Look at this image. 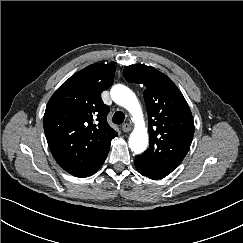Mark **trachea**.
Returning a JSON list of instances; mask_svg holds the SVG:
<instances>
[{"label": "trachea", "instance_id": "1", "mask_svg": "<svg viewBox=\"0 0 243 243\" xmlns=\"http://www.w3.org/2000/svg\"><path fill=\"white\" fill-rule=\"evenodd\" d=\"M124 119H125L124 113L121 112V111H117L113 115L112 121H113V123L120 125V124H122L124 122Z\"/></svg>", "mask_w": 243, "mask_h": 243}]
</instances>
